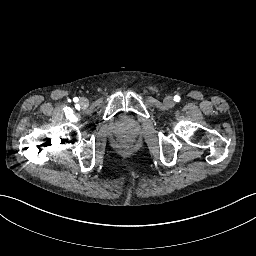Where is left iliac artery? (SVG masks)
Returning <instances> with one entry per match:
<instances>
[{
  "instance_id": "44dca946",
  "label": "left iliac artery",
  "mask_w": 256,
  "mask_h": 256,
  "mask_svg": "<svg viewBox=\"0 0 256 256\" xmlns=\"http://www.w3.org/2000/svg\"><path fill=\"white\" fill-rule=\"evenodd\" d=\"M179 100H180V97L179 96H174V101H176V102H179Z\"/></svg>"
}]
</instances>
